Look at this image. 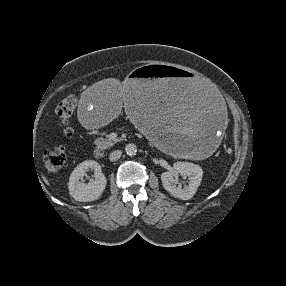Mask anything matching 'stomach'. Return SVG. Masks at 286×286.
I'll return each instance as SVG.
<instances>
[{
    "instance_id": "1",
    "label": "stomach",
    "mask_w": 286,
    "mask_h": 286,
    "mask_svg": "<svg viewBox=\"0 0 286 286\" xmlns=\"http://www.w3.org/2000/svg\"><path fill=\"white\" fill-rule=\"evenodd\" d=\"M80 118L98 128L124 112L137 129L167 152L198 155L220 138L225 115L213 89L193 74L155 65L132 71L124 87L101 79L78 94Z\"/></svg>"
}]
</instances>
